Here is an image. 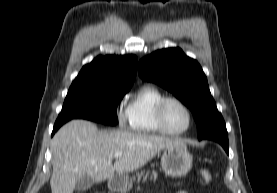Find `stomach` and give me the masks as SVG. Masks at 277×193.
Wrapping results in <instances>:
<instances>
[{
	"label": "stomach",
	"instance_id": "stomach-1",
	"mask_svg": "<svg viewBox=\"0 0 277 193\" xmlns=\"http://www.w3.org/2000/svg\"><path fill=\"white\" fill-rule=\"evenodd\" d=\"M193 158L186 145H176L164 149L161 167L166 175L178 178L185 176L192 168ZM109 188L115 192H123L129 185L127 175H118L109 179Z\"/></svg>",
	"mask_w": 277,
	"mask_h": 193
}]
</instances>
